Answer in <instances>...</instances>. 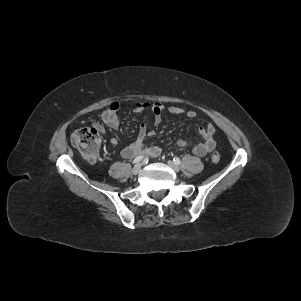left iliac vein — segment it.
Here are the masks:
<instances>
[{"label": "left iliac vein", "mask_w": 301, "mask_h": 301, "mask_svg": "<svg viewBox=\"0 0 301 301\" xmlns=\"http://www.w3.org/2000/svg\"><path fill=\"white\" fill-rule=\"evenodd\" d=\"M168 166L175 172H178L179 171V166L177 164H175L173 161L169 160L167 162Z\"/></svg>", "instance_id": "obj_1"}]
</instances>
